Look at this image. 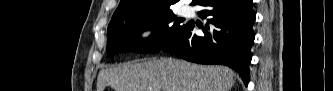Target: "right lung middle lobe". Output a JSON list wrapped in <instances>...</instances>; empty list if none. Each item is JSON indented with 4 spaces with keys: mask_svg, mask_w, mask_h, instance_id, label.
<instances>
[{
    "mask_svg": "<svg viewBox=\"0 0 333 91\" xmlns=\"http://www.w3.org/2000/svg\"><path fill=\"white\" fill-rule=\"evenodd\" d=\"M171 10L109 23L107 48L109 57L119 52L153 53L169 44L185 27ZM152 30V35L138 39V35Z\"/></svg>",
    "mask_w": 333,
    "mask_h": 91,
    "instance_id": "right-lung-middle-lobe-1",
    "label": "right lung middle lobe"
}]
</instances>
